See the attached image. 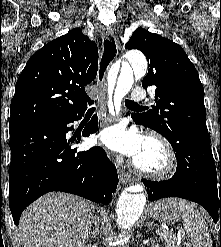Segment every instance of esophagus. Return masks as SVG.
Masks as SVG:
<instances>
[{"mask_svg":"<svg viewBox=\"0 0 221 247\" xmlns=\"http://www.w3.org/2000/svg\"><path fill=\"white\" fill-rule=\"evenodd\" d=\"M118 55V46L115 35L111 28L104 29L102 33V53L99 62V71L97 76V82L99 85L101 96V109L103 111V117L105 121L108 120L106 113L105 93H106V74L110 65L114 62ZM116 101L120 104L121 98L116 96ZM120 179L123 183L133 182L134 178L124 172H120Z\"/></svg>","mask_w":221,"mask_h":247,"instance_id":"1","label":"esophagus"}]
</instances>
